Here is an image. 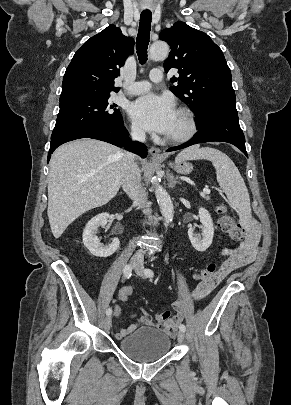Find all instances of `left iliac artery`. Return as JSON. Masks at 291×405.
<instances>
[{"mask_svg":"<svg viewBox=\"0 0 291 405\" xmlns=\"http://www.w3.org/2000/svg\"><path fill=\"white\" fill-rule=\"evenodd\" d=\"M144 274L146 275V277H153L154 276V272L151 269H145L144 270ZM179 329L183 332L186 331V327L184 324H180Z\"/></svg>","mask_w":291,"mask_h":405,"instance_id":"1","label":"left iliac artery"}]
</instances>
